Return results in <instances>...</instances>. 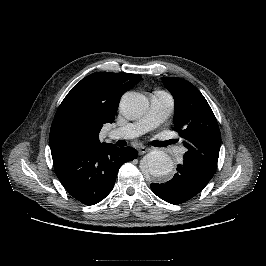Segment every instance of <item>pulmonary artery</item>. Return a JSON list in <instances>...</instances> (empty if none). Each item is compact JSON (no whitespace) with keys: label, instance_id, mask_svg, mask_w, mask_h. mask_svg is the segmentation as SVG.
<instances>
[{"label":"pulmonary artery","instance_id":"e3ab8cb5","mask_svg":"<svg viewBox=\"0 0 266 266\" xmlns=\"http://www.w3.org/2000/svg\"><path fill=\"white\" fill-rule=\"evenodd\" d=\"M173 108V97L167 91L156 90L151 93L149 109L142 118L136 122L110 130L108 136L110 139H132L138 137L164 122L173 111Z\"/></svg>","mask_w":266,"mask_h":266}]
</instances>
